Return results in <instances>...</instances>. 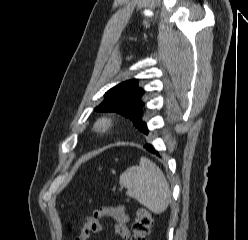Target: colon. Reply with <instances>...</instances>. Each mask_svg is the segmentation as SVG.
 <instances>
[{"label":"colon","instance_id":"5ec220e1","mask_svg":"<svg viewBox=\"0 0 248 240\" xmlns=\"http://www.w3.org/2000/svg\"><path fill=\"white\" fill-rule=\"evenodd\" d=\"M152 224L153 220L151 214L144 208H138L132 223V235L130 240H146Z\"/></svg>","mask_w":248,"mask_h":240}]
</instances>
